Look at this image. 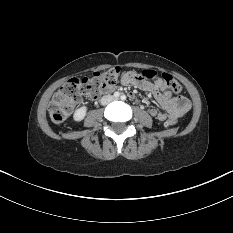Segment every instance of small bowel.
I'll use <instances>...</instances> for the list:
<instances>
[{
    "label": "small bowel",
    "mask_w": 233,
    "mask_h": 233,
    "mask_svg": "<svg viewBox=\"0 0 233 233\" xmlns=\"http://www.w3.org/2000/svg\"><path fill=\"white\" fill-rule=\"evenodd\" d=\"M119 82L122 85H133L143 91L151 93L162 110L156 107L148 109V113L161 122L170 119L176 120L183 117L189 111L191 104L190 101L183 96H172L164 84L161 82L151 83L143 79L142 75L137 72L126 70L120 77Z\"/></svg>",
    "instance_id": "c3829d8e"
}]
</instances>
